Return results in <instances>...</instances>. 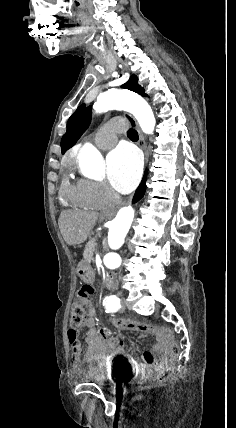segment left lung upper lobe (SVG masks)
Listing matches in <instances>:
<instances>
[{"instance_id": "left-lung-upper-lobe-1", "label": "left lung upper lobe", "mask_w": 236, "mask_h": 428, "mask_svg": "<svg viewBox=\"0 0 236 428\" xmlns=\"http://www.w3.org/2000/svg\"><path fill=\"white\" fill-rule=\"evenodd\" d=\"M122 87L134 91L142 96H147L144 88L138 84V78L134 74L125 84L122 85ZM90 120L91 107L86 108L84 104L80 105L67 122V131L61 140L62 154L76 143L83 132L88 128Z\"/></svg>"}]
</instances>
